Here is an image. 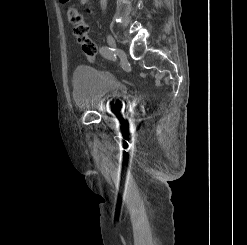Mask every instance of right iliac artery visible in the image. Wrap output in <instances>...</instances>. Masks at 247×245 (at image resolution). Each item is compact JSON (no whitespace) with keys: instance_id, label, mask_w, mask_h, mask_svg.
Wrapping results in <instances>:
<instances>
[{"instance_id":"obj_1","label":"right iliac artery","mask_w":247,"mask_h":245,"mask_svg":"<svg viewBox=\"0 0 247 245\" xmlns=\"http://www.w3.org/2000/svg\"><path fill=\"white\" fill-rule=\"evenodd\" d=\"M100 53L106 59H109L110 57H114L116 59V54L114 52V49H112V48H108L106 46H103L100 48Z\"/></svg>"}]
</instances>
